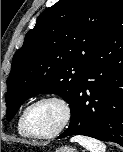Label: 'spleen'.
Segmentation results:
<instances>
[{
    "mask_svg": "<svg viewBox=\"0 0 123 152\" xmlns=\"http://www.w3.org/2000/svg\"><path fill=\"white\" fill-rule=\"evenodd\" d=\"M71 141L79 143L89 152H106V145L94 138L86 137L83 135H76L72 137Z\"/></svg>",
    "mask_w": 123,
    "mask_h": 152,
    "instance_id": "spleen-1",
    "label": "spleen"
}]
</instances>
